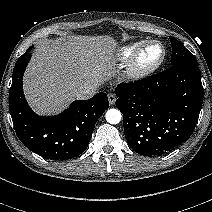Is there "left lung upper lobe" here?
<instances>
[{
    "mask_svg": "<svg viewBox=\"0 0 212 212\" xmlns=\"http://www.w3.org/2000/svg\"><path fill=\"white\" fill-rule=\"evenodd\" d=\"M172 45L171 67L197 64L195 57L176 39L170 37Z\"/></svg>",
    "mask_w": 212,
    "mask_h": 212,
    "instance_id": "5c2ea615",
    "label": "left lung upper lobe"
}]
</instances>
